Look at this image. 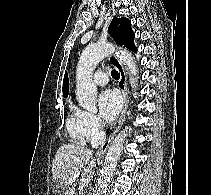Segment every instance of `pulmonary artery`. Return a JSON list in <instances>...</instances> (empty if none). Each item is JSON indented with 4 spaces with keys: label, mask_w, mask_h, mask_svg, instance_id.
Returning a JSON list of instances; mask_svg holds the SVG:
<instances>
[{
    "label": "pulmonary artery",
    "mask_w": 211,
    "mask_h": 195,
    "mask_svg": "<svg viewBox=\"0 0 211 195\" xmlns=\"http://www.w3.org/2000/svg\"><path fill=\"white\" fill-rule=\"evenodd\" d=\"M93 81L99 86L106 85L109 81L108 72L105 70H99L94 73Z\"/></svg>",
    "instance_id": "1"
}]
</instances>
